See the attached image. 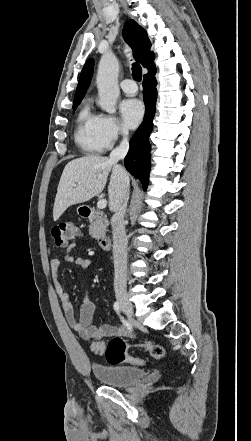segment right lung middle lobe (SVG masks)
Returning <instances> with one entry per match:
<instances>
[{
	"instance_id": "obj_1",
	"label": "right lung middle lobe",
	"mask_w": 251,
	"mask_h": 441,
	"mask_svg": "<svg viewBox=\"0 0 251 441\" xmlns=\"http://www.w3.org/2000/svg\"><path fill=\"white\" fill-rule=\"evenodd\" d=\"M80 102H81V100H80V101H75V102H73V109H74V110L78 107V105L80 104Z\"/></svg>"
}]
</instances>
